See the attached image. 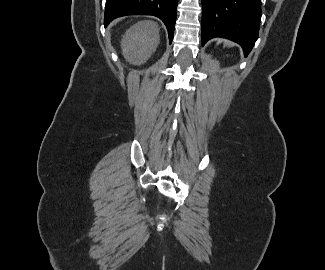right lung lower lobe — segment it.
<instances>
[{
    "label": "right lung lower lobe",
    "mask_w": 325,
    "mask_h": 270,
    "mask_svg": "<svg viewBox=\"0 0 325 270\" xmlns=\"http://www.w3.org/2000/svg\"><path fill=\"white\" fill-rule=\"evenodd\" d=\"M178 0H106L104 25L125 15H153L160 18L172 42Z\"/></svg>",
    "instance_id": "1"
}]
</instances>
